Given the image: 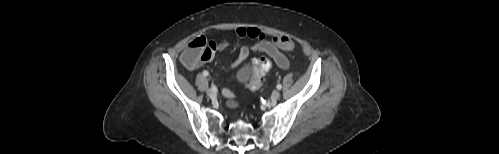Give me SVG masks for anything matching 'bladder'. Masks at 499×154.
<instances>
[{
	"instance_id": "obj_1",
	"label": "bladder",
	"mask_w": 499,
	"mask_h": 154,
	"mask_svg": "<svg viewBox=\"0 0 499 154\" xmlns=\"http://www.w3.org/2000/svg\"><path fill=\"white\" fill-rule=\"evenodd\" d=\"M250 78L249 68H242L237 73V80L240 82H246Z\"/></svg>"
}]
</instances>
